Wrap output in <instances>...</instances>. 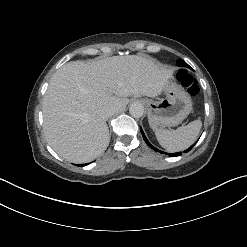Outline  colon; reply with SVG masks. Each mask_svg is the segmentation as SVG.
Returning a JSON list of instances; mask_svg holds the SVG:
<instances>
[{
  "instance_id": "colon-1",
  "label": "colon",
  "mask_w": 247,
  "mask_h": 247,
  "mask_svg": "<svg viewBox=\"0 0 247 247\" xmlns=\"http://www.w3.org/2000/svg\"><path fill=\"white\" fill-rule=\"evenodd\" d=\"M181 85L186 89L188 94L195 96L199 93V86L196 78L184 70H179L176 74Z\"/></svg>"
}]
</instances>
